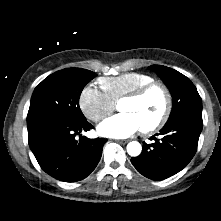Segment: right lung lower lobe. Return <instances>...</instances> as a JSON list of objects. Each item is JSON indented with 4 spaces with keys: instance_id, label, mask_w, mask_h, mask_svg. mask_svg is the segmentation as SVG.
Instances as JSON below:
<instances>
[{
    "instance_id": "obj_1",
    "label": "right lung lower lobe",
    "mask_w": 221,
    "mask_h": 221,
    "mask_svg": "<svg viewBox=\"0 0 221 221\" xmlns=\"http://www.w3.org/2000/svg\"><path fill=\"white\" fill-rule=\"evenodd\" d=\"M92 128L86 119L44 120L28 128L29 146L44 172L63 182L80 181L95 169L107 141L80 134Z\"/></svg>"
}]
</instances>
